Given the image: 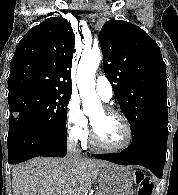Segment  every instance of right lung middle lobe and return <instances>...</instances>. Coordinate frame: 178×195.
Here are the masks:
<instances>
[{"label":"right lung middle lobe","instance_id":"dd1d6c3e","mask_svg":"<svg viewBox=\"0 0 178 195\" xmlns=\"http://www.w3.org/2000/svg\"><path fill=\"white\" fill-rule=\"evenodd\" d=\"M71 93L27 90L8 96L9 126L17 123L66 124V106Z\"/></svg>","mask_w":178,"mask_h":195}]
</instances>
